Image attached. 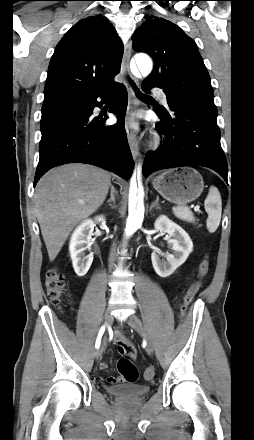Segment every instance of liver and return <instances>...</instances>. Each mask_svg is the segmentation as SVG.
<instances>
[{"label": "liver", "mask_w": 254, "mask_h": 440, "mask_svg": "<svg viewBox=\"0 0 254 440\" xmlns=\"http://www.w3.org/2000/svg\"><path fill=\"white\" fill-rule=\"evenodd\" d=\"M111 174L91 165L72 163L48 171L34 193L35 214L53 261L73 228L104 202Z\"/></svg>", "instance_id": "liver-1"}]
</instances>
